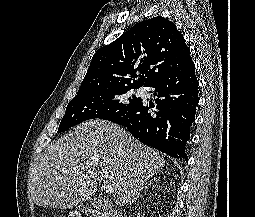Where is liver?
<instances>
[{
	"mask_svg": "<svg viewBox=\"0 0 255 217\" xmlns=\"http://www.w3.org/2000/svg\"><path fill=\"white\" fill-rule=\"evenodd\" d=\"M164 165L158 151L117 124L86 121L39 155L31 174V197L38 206L73 208L93 196L104 180L115 188L114 202L121 207Z\"/></svg>",
	"mask_w": 255,
	"mask_h": 217,
	"instance_id": "liver-1",
	"label": "liver"
}]
</instances>
